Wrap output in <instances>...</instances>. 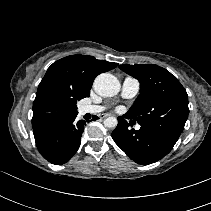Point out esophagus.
Masks as SVG:
<instances>
[{
  "mask_svg": "<svg viewBox=\"0 0 211 211\" xmlns=\"http://www.w3.org/2000/svg\"><path fill=\"white\" fill-rule=\"evenodd\" d=\"M108 116H110V115L107 114V113H106V114H101V115H100V118H106V117H108Z\"/></svg>",
  "mask_w": 211,
  "mask_h": 211,
  "instance_id": "34e87169",
  "label": "esophagus"
}]
</instances>
